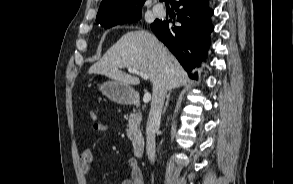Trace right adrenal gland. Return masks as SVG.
Wrapping results in <instances>:
<instances>
[{
    "label": "right adrenal gland",
    "mask_w": 293,
    "mask_h": 184,
    "mask_svg": "<svg viewBox=\"0 0 293 184\" xmlns=\"http://www.w3.org/2000/svg\"><path fill=\"white\" fill-rule=\"evenodd\" d=\"M170 94H171V92L167 95V99H166L165 107H164V109H163V114L166 112V109H167V107H168L169 99H170Z\"/></svg>",
    "instance_id": "right-adrenal-gland-1"
}]
</instances>
